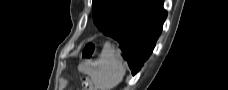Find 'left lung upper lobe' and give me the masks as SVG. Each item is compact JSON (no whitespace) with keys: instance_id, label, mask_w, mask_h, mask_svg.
<instances>
[{"instance_id":"5c2ea615","label":"left lung upper lobe","mask_w":228,"mask_h":90,"mask_svg":"<svg viewBox=\"0 0 228 90\" xmlns=\"http://www.w3.org/2000/svg\"><path fill=\"white\" fill-rule=\"evenodd\" d=\"M133 0H93L92 13L95 25L102 32L131 9Z\"/></svg>"}]
</instances>
